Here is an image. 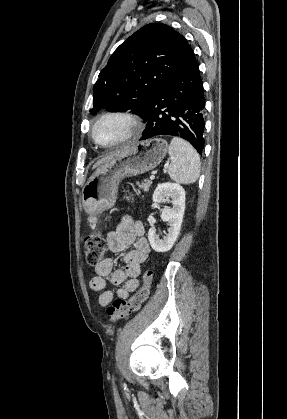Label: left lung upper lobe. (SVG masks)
<instances>
[{"instance_id": "left-lung-upper-lobe-1", "label": "left lung upper lobe", "mask_w": 287, "mask_h": 419, "mask_svg": "<svg viewBox=\"0 0 287 419\" xmlns=\"http://www.w3.org/2000/svg\"><path fill=\"white\" fill-rule=\"evenodd\" d=\"M194 61L181 34L165 24H148L111 55L94 85L90 113L131 111L144 119L155 94Z\"/></svg>"}]
</instances>
